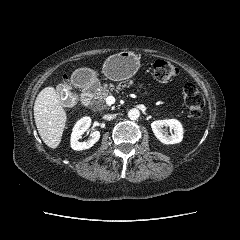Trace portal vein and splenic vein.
Listing matches in <instances>:
<instances>
[{
	"label": "portal vein and splenic vein",
	"instance_id": "portal-vein-and-splenic-vein-1",
	"mask_svg": "<svg viewBox=\"0 0 240 240\" xmlns=\"http://www.w3.org/2000/svg\"><path fill=\"white\" fill-rule=\"evenodd\" d=\"M106 103H107L108 105L114 104V103H115V98H114V96H112V95L107 96V98H106Z\"/></svg>",
	"mask_w": 240,
	"mask_h": 240
}]
</instances>
